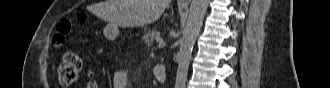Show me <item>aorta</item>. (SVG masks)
Segmentation results:
<instances>
[{
  "instance_id": "1",
  "label": "aorta",
  "mask_w": 330,
  "mask_h": 88,
  "mask_svg": "<svg viewBox=\"0 0 330 88\" xmlns=\"http://www.w3.org/2000/svg\"><path fill=\"white\" fill-rule=\"evenodd\" d=\"M209 0H192L183 36L180 41V54L175 88H185L193 46L201 29Z\"/></svg>"
}]
</instances>
